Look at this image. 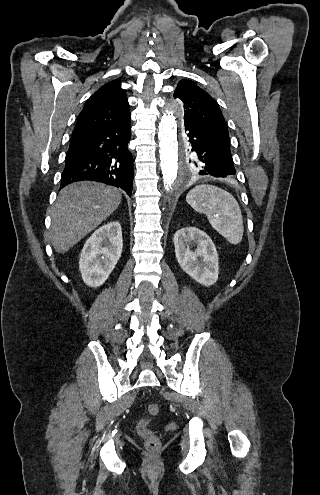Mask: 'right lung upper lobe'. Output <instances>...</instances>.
Instances as JSON below:
<instances>
[{"label": "right lung upper lobe", "instance_id": "right-lung-upper-lobe-1", "mask_svg": "<svg viewBox=\"0 0 320 495\" xmlns=\"http://www.w3.org/2000/svg\"><path fill=\"white\" fill-rule=\"evenodd\" d=\"M130 122L129 103L119 79L101 86L79 114L72 135L124 125Z\"/></svg>", "mask_w": 320, "mask_h": 495}]
</instances>
